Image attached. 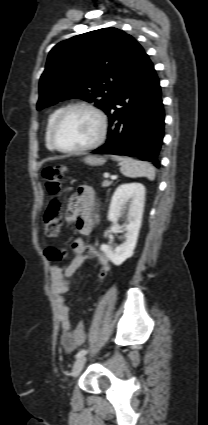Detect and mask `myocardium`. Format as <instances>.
<instances>
[{"label": "myocardium", "mask_w": 208, "mask_h": 425, "mask_svg": "<svg viewBox=\"0 0 208 425\" xmlns=\"http://www.w3.org/2000/svg\"><path fill=\"white\" fill-rule=\"evenodd\" d=\"M76 109H81V110H86L88 112H91L98 120L99 132H98L96 139L93 142H91V143H89V144H87L83 147L73 148V149L63 148V147L59 146L58 143L56 142V138H55L56 130H57L61 120L64 118V116L67 113H69L70 111L76 110ZM107 129H108L107 118H106L105 114L98 107H96V106H94L90 103H86V102H76V103H72V104L65 106L56 115V117H55V119H54V121L51 125V128H50V143H51V146L59 152L67 153V154H81V153H85L87 151H90V150L98 147L99 145H101L106 138Z\"/></svg>", "instance_id": "myocardium-1"}]
</instances>
